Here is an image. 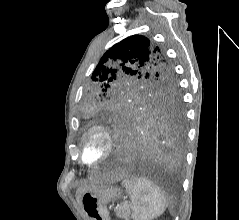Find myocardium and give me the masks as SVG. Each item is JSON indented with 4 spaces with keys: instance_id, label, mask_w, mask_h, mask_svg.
Here are the masks:
<instances>
[{
    "instance_id": "f54148a6",
    "label": "myocardium",
    "mask_w": 239,
    "mask_h": 220,
    "mask_svg": "<svg viewBox=\"0 0 239 220\" xmlns=\"http://www.w3.org/2000/svg\"><path fill=\"white\" fill-rule=\"evenodd\" d=\"M94 137H98L101 139L103 143V151L101 155L94 161H86L84 159V149L87 143ZM115 147V142L113 135L111 131L103 125L96 124L91 126L83 135L81 140V146H80V154H79V160L81 163L87 166H93L96 164H99L100 162L104 161L106 158H108L111 153L113 152Z\"/></svg>"
}]
</instances>
